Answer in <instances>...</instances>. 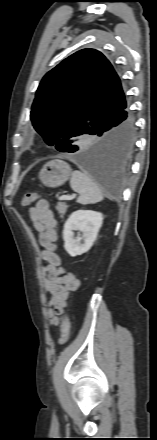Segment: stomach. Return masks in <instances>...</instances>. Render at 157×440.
Instances as JSON below:
<instances>
[{
  "label": "stomach",
  "instance_id": "stomach-1",
  "mask_svg": "<svg viewBox=\"0 0 157 440\" xmlns=\"http://www.w3.org/2000/svg\"><path fill=\"white\" fill-rule=\"evenodd\" d=\"M72 175V169L65 161L56 159L43 165L39 172L40 181L47 187H59Z\"/></svg>",
  "mask_w": 157,
  "mask_h": 440
}]
</instances>
